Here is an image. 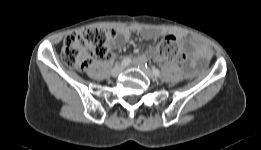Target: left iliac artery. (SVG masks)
I'll list each match as a JSON object with an SVG mask.
<instances>
[{"instance_id":"left-iliac-artery-1","label":"left iliac artery","mask_w":261,"mask_h":150,"mask_svg":"<svg viewBox=\"0 0 261 150\" xmlns=\"http://www.w3.org/2000/svg\"><path fill=\"white\" fill-rule=\"evenodd\" d=\"M145 67L148 68V67H147V64H145ZM153 75H154L155 77L160 76V71H159L158 69L154 68V69H153Z\"/></svg>"}]
</instances>
